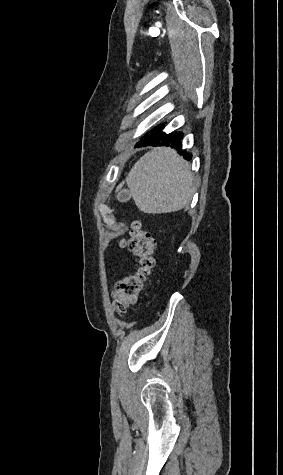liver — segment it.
<instances>
[{"label": "liver", "mask_w": 283, "mask_h": 475, "mask_svg": "<svg viewBox=\"0 0 283 475\" xmlns=\"http://www.w3.org/2000/svg\"><path fill=\"white\" fill-rule=\"evenodd\" d=\"M125 182L137 208L144 214L178 212L187 206L193 192L190 164L171 148H152L134 164Z\"/></svg>", "instance_id": "6515ba94"}]
</instances>
